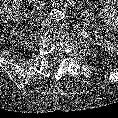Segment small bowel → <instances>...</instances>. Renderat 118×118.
Instances as JSON below:
<instances>
[{
	"label": "small bowel",
	"instance_id": "small-bowel-1",
	"mask_svg": "<svg viewBox=\"0 0 118 118\" xmlns=\"http://www.w3.org/2000/svg\"><path fill=\"white\" fill-rule=\"evenodd\" d=\"M102 16L107 29L112 30L118 26V0H106L103 5Z\"/></svg>",
	"mask_w": 118,
	"mask_h": 118
}]
</instances>
